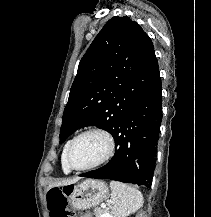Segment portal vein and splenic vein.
<instances>
[{"mask_svg": "<svg viewBox=\"0 0 211 217\" xmlns=\"http://www.w3.org/2000/svg\"><path fill=\"white\" fill-rule=\"evenodd\" d=\"M101 207L102 208H106V204H101Z\"/></svg>", "mask_w": 211, "mask_h": 217, "instance_id": "portal-vein-and-splenic-vein-1", "label": "portal vein and splenic vein"}]
</instances>
